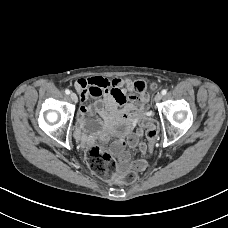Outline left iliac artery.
<instances>
[{
	"instance_id": "44dca946",
	"label": "left iliac artery",
	"mask_w": 228,
	"mask_h": 228,
	"mask_svg": "<svg viewBox=\"0 0 228 228\" xmlns=\"http://www.w3.org/2000/svg\"><path fill=\"white\" fill-rule=\"evenodd\" d=\"M161 93H162V95H165V94L167 93V90H166V89H163V90L161 91Z\"/></svg>"
}]
</instances>
